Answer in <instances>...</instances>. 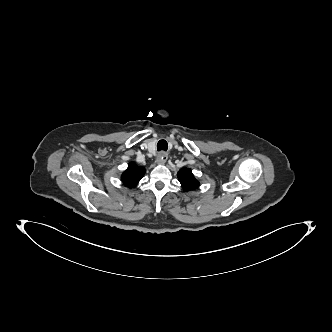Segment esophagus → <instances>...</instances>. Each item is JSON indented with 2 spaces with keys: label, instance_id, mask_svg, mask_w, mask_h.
<instances>
[{
  "label": "esophagus",
  "instance_id": "esophagus-1",
  "mask_svg": "<svg viewBox=\"0 0 332 332\" xmlns=\"http://www.w3.org/2000/svg\"><path fill=\"white\" fill-rule=\"evenodd\" d=\"M168 159V154L166 152H160L156 157V162L158 164H164Z\"/></svg>",
  "mask_w": 332,
  "mask_h": 332
}]
</instances>
